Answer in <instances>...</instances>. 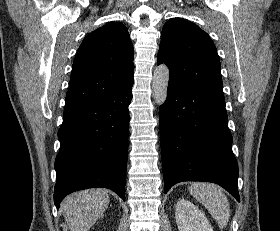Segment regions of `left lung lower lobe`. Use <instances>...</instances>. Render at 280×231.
I'll return each instance as SVG.
<instances>
[{
	"mask_svg": "<svg viewBox=\"0 0 280 231\" xmlns=\"http://www.w3.org/2000/svg\"><path fill=\"white\" fill-rule=\"evenodd\" d=\"M159 118L164 192L178 182L207 181L240 202L223 91L169 82Z\"/></svg>",
	"mask_w": 280,
	"mask_h": 231,
	"instance_id": "left-lung-lower-lobe-1",
	"label": "left lung lower lobe"
}]
</instances>
